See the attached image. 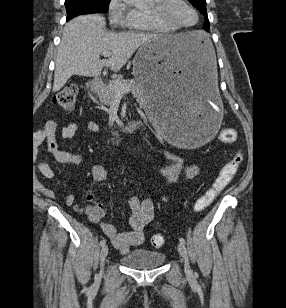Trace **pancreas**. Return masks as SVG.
Wrapping results in <instances>:
<instances>
[{
	"label": "pancreas",
	"mask_w": 286,
	"mask_h": 308,
	"mask_svg": "<svg viewBox=\"0 0 286 308\" xmlns=\"http://www.w3.org/2000/svg\"><path fill=\"white\" fill-rule=\"evenodd\" d=\"M116 82H119L125 86L130 87L131 93L134 97H136L139 101H143L145 97V89L144 87L135 80H125L122 77H118L117 79L110 81L108 84L103 85L98 91L97 96L101 103L111 106L115 101L117 96V91L115 88Z\"/></svg>",
	"instance_id": "pancreas-1"
}]
</instances>
